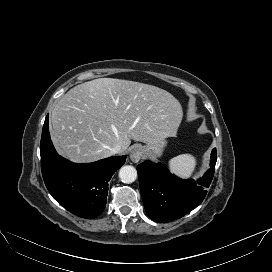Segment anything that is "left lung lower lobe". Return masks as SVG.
Wrapping results in <instances>:
<instances>
[{
  "label": "left lung lower lobe",
  "instance_id": "1",
  "mask_svg": "<svg viewBox=\"0 0 272 272\" xmlns=\"http://www.w3.org/2000/svg\"><path fill=\"white\" fill-rule=\"evenodd\" d=\"M216 149L211 152V168L197 181L182 180L172 175L162 164L145 161L137 166L140 191L148 216L167 223L183 217L205 198L212 181Z\"/></svg>",
  "mask_w": 272,
  "mask_h": 272
}]
</instances>
